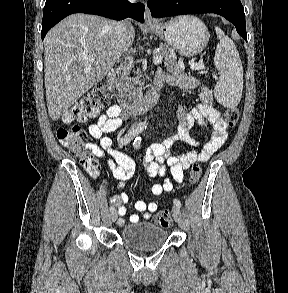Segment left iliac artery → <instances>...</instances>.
Instances as JSON below:
<instances>
[{
  "instance_id": "1",
  "label": "left iliac artery",
  "mask_w": 288,
  "mask_h": 293,
  "mask_svg": "<svg viewBox=\"0 0 288 293\" xmlns=\"http://www.w3.org/2000/svg\"><path fill=\"white\" fill-rule=\"evenodd\" d=\"M140 144H141V137H137L135 140H134V147L137 149L140 147ZM174 204L178 207H181V202L178 200V199H174L173 200Z\"/></svg>"
}]
</instances>
